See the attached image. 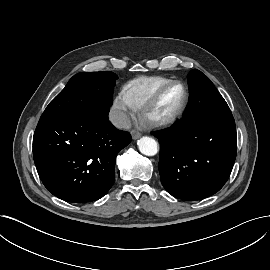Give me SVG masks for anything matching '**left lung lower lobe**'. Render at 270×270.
Returning a JSON list of instances; mask_svg holds the SVG:
<instances>
[{"label": "left lung lower lobe", "mask_w": 270, "mask_h": 270, "mask_svg": "<svg viewBox=\"0 0 270 270\" xmlns=\"http://www.w3.org/2000/svg\"><path fill=\"white\" fill-rule=\"evenodd\" d=\"M153 134L160 142V179L172 196L206 198L228 180L237 152L234 118L201 120L188 104L181 121Z\"/></svg>", "instance_id": "1"}]
</instances>
